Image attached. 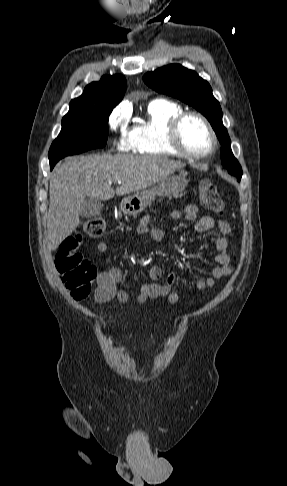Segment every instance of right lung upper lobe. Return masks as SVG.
Masks as SVG:
<instances>
[{
	"instance_id": "right-lung-upper-lobe-1",
	"label": "right lung upper lobe",
	"mask_w": 287,
	"mask_h": 486,
	"mask_svg": "<svg viewBox=\"0 0 287 486\" xmlns=\"http://www.w3.org/2000/svg\"><path fill=\"white\" fill-rule=\"evenodd\" d=\"M125 89L124 76H103L100 81L87 85L83 94L70 102V108L104 106L113 109L122 100Z\"/></svg>"
}]
</instances>
